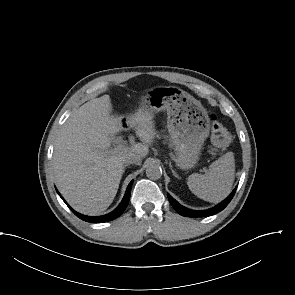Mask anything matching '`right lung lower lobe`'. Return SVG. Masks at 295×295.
Masks as SVG:
<instances>
[{"instance_id":"1","label":"right lung lower lobe","mask_w":295,"mask_h":295,"mask_svg":"<svg viewBox=\"0 0 295 295\" xmlns=\"http://www.w3.org/2000/svg\"><path fill=\"white\" fill-rule=\"evenodd\" d=\"M132 183L133 181H131L127 187V190H126V193H125V196L122 200V202L119 204V206L114 210L112 211L111 213L109 214H106V215H103V216H98V217H90V216H85V215H82L76 211H74L66 202L65 200L62 198V200L68 205V207L70 208V210L77 216L79 217L80 219H82L83 221H86V222H92V223H102V222H107V221H110V220H113L117 217H119L123 212L124 210L126 209L128 203H129V200H130V192H131V187H132ZM58 193V192H57ZM59 194V193H58Z\"/></svg>"}]
</instances>
